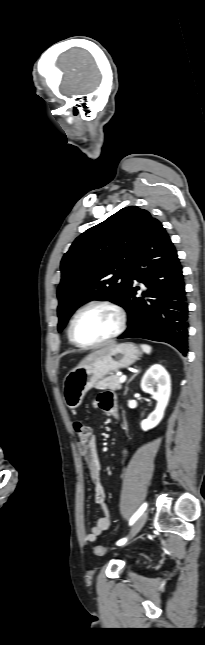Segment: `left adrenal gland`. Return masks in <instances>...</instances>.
Here are the masks:
<instances>
[{
  "label": "left adrenal gland",
  "instance_id": "a2214340",
  "mask_svg": "<svg viewBox=\"0 0 205 645\" xmlns=\"http://www.w3.org/2000/svg\"><path fill=\"white\" fill-rule=\"evenodd\" d=\"M135 376H136V373H135V374H133V375L131 376V378L129 379V381L127 382V385H126V387H125L124 395H126V394H127V392H128V384H129V383L134 379V377H135Z\"/></svg>",
  "mask_w": 205,
  "mask_h": 645
}]
</instances>
